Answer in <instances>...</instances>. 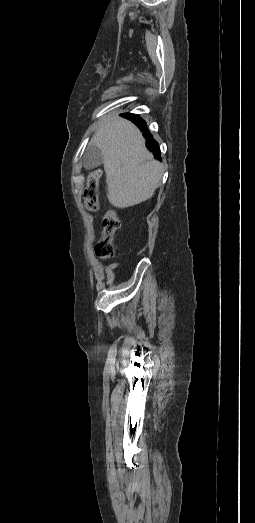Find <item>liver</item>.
<instances>
[{"label": "liver", "mask_w": 255, "mask_h": 523, "mask_svg": "<svg viewBox=\"0 0 255 523\" xmlns=\"http://www.w3.org/2000/svg\"><path fill=\"white\" fill-rule=\"evenodd\" d=\"M90 144L102 150L107 198L115 208L136 206L154 196L163 166L148 152L142 132L122 118H105Z\"/></svg>", "instance_id": "6515ba94"}]
</instances>
